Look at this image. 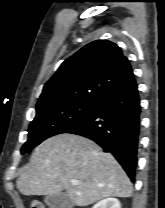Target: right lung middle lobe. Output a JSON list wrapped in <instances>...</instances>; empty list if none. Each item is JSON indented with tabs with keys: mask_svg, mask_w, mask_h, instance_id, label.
<instances>
[{
	"mask_svg": "<svg viewBox=\"0 0 165 208\" xmlns=\"http://www.w3.org/2000/svg\"><path fill=\"white\" fill-rule=\"evenodd\" d=\"M97 102H62L36 109V117L28 130V140L21 153L28 152L45 139L66 133L82 122Z\"/></svg>",
	"mask_w": 165,
	"mask_h": 208,
	"instance_id": "right-lung-middle-lobe-1",
	"label": "right lung middle lobe"
}]
</instances>
